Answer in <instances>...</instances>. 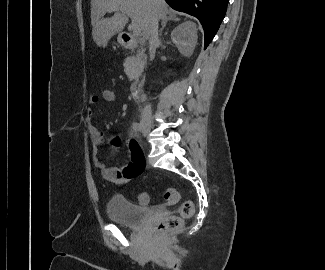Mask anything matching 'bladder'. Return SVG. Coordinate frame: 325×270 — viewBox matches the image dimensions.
Returning <instances> with one entry per match:
<instances>
[{"mask_svg": "<svg viewBox=\"0 0 325 270\" xmlns=\"http://www.w3.org/2000/svg\"><path fill=\"white\" fill-rule=\"evenodd\" d=\"M107 214L114 223L137 228L151 215V210L138 206L123 195L114 194L107 203Z\"/></svg>", "mask_w": 325, "mask_h": 270, "instance_id": "obj_1", "label": "bladder"}]
</instances>
